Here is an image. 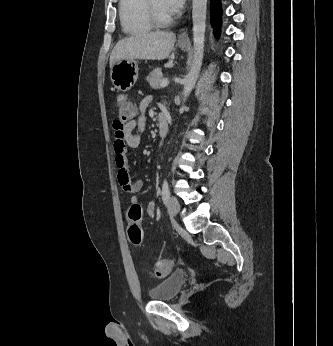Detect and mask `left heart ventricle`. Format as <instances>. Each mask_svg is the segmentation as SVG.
<instances>
[{"label":"left heart ventricle","instance_id":"1","mask_svg":"<svg viewBox=\"0 0 333 346\" xmlns=\"http://www.w3.org/2000/svg\"><path fill=\"white\" fill-rule=\"evenodd\" d=\"M157 11L162 16H169L170 14L164 9L162 0H153Z\"/></svg>","mask_w":333,"mask_h":346}]
</instances>
